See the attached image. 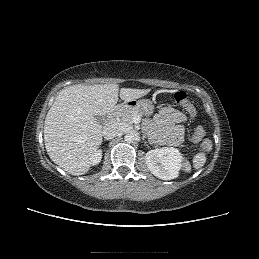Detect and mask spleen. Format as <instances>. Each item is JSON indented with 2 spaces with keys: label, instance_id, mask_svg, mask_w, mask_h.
<instances>
[{
  "label": "spleen",
  "instance_id": "obj_1",
  "mask_svg": "<svg viewBox=\"0 0 259 259\" xmlns=\"http://www.w3.org/2000/svg\"><path fill=\"white\" fill-rule=\"evenodd\" d=\"M206 162V155L205 153H197L194 157H193V166L195 169H199L201 167L204 166ZM185 167V171L186 172H190V166L188 163H185L184 165Z\"/></svg>",
  "mask_w": 259,
  "mask_h": 259
}]
</instances>
